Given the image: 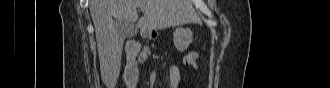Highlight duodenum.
I'll use <instances>...</instances> for the list:
<instances>
[{
	"label": "duodenum",
	"mask_w": 330,
	"mask_h": 88,
	"mask_svg": "<svg viewBox=\"0 0 330 88\" xmlns=\"http://www.w3.org/2000/svg\"><path fill=\"white\" fill-rule=\"evenodd\" d=\"M137 50H138V44L134 41H129L125 45V51L128 56V63H127L128 66L125 71V78L127 81H129L131 76H134L135 74V70L130 69V66L135 65V54Z\"/></svg>",
	"instance_id": "duodenum-1"
}]
</instances>
